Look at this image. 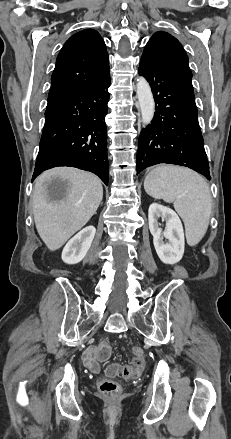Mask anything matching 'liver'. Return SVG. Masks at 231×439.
Here are the masks:
<instances>
[{"label": "liver", "mask_w": 231, "mask_h": 439, "mask_svg": "<svg viewBox=\"0 0 231 439\" xmlns=\"http://www.w3.org/2000/svg\"><path fill=\"white\" fill-rule=\"evenodd\" d=\"M55 178L66 182L60 196L49 189ZM102 197L101 181L92 173L71 167L44 171L36 179L32 207L37 232L46 246L51 251L63 246L95 214Z\"/></svg>", "instance_id": "6515ba94"}]
</instances>
